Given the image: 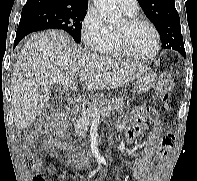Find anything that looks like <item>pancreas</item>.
Instances as JSON below:
<instances>
[{
    "mask_svg": "<svg viewBox=\"0 0 197 181\" xmlns=\"http://www.w3.org/2000/svg\"><path fill=\"white\" fill-rule=\"evenodd\" d=\"M125 101L122 97H112L103 99V94H96L91 103H87L82 107L81 113L72 119L75 133L80 138H85L95 112L105 116L110 111H118L123 109Z\"/></svg>",
    "mask_w": 197,
    "mask_h": 181,
    "instance_id": "1",
    "label": "pancreas"
}]
</instances>
